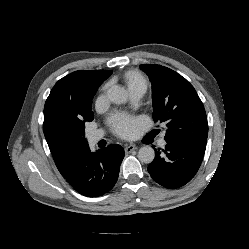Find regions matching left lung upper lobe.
Here are the masks:
<instances>
[{
    "label": "left lung upper lobe",
    "mask_w": 249,
    "mask_h": 249,
    "mask_svg": "<svg viewBox=\"0 0 249 249\" xmlns=\"http://www.w3.org/2000/svg\"><path fill=\"white\" fill-rule=\"evenodd\" d=\"M140 68L152 83L153 120L167 126L165 141L204 155L207 117L194 87L167 67L143 64Z\"/></svg>",
    "instance_id": "obj_1"
}]
</instances>
